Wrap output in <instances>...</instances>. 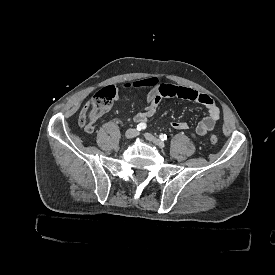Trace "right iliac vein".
Instances as JSON below:
<instances>
[{
  "label": "right iliac vein",
  "mask_w": 275,
  "mask_h": 275,
  "mask_svg": "<svg viewBox=\"0 0 275 275\" xmlns=\"http://www.w3.org/2000/svg\"><path fill=\"white\" fill-rule=\"evenodd\" d=\"M137 130L134 128H130L125 132V138L127 140L133 139L137 135Z\"/></svg>",
  "instance_id": "right-iliac-vein-1"
}]
</instances>
